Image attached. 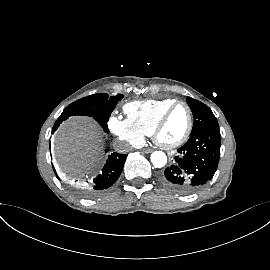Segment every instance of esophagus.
<instances>
[{
  "instance_id": "obj_1",
  "label": "esophagus",
  "mask_w": 270,
  "mask_h": 270,
  "mask_svg": "<svg viewBox=\"0 0 270 270\" xmlns=\"http://www.w3.org/2000/svg\"><path fill=\"white\" fill-rule=\"evenodd\" d=\"M141 151H142L143 153L148 154V153H151L153 150H152L151 148H144V149H142Z\"/></svg>"
}]
</instances>
